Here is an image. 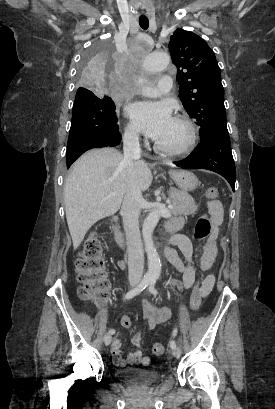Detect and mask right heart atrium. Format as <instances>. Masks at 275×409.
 <instances>
[{
	"label": "right heart atrium",
	"instance_id": "right-heart-atrium-1",
	"mask_svg": "<svg viewBox=\"0 0 275 409\" xmlns=\"http://www.w3.org/2000/svg\"><path fill=\"white\" fill-rule=\"evenodd\" d=\"M123 137L128 143H138L141 138V129L138 123L128 119L124 124Z\"/></svg>",
	"mask_w": 275,
	"mask_h": 409
}]
</instances>
